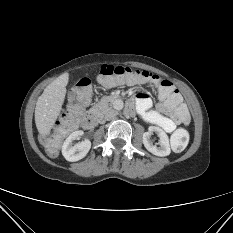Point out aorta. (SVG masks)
<instances>
[{
  "mask_svg": "<svg viewBox=\"0 0 233 233\" xmlns=\"http://www.w3.org/2000/svg\"><path fill=\"white\" fill-rule=\"evenodd\" d=\"M123 106H124V103H123L122 100H116L114 102V108L117 109V110L123 109Z\"/></svg>",
  "mask_w": 233,
  "mask_h": 233,
  "instance_id": "obj_1",
  "label": "aorta"
}]
</instances>
